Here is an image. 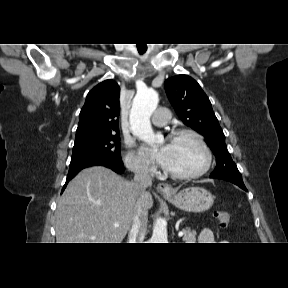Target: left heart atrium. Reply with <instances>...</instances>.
I'll return each instance as SVG.
<instances>
[{
    "instance_id": "1",
    "label": "left heart atrium",
    "mask_w": 288,
    "mask_h": 288,
    "mask_svg": "<svg viewBox=\"0 0 288 288\" xmlns=\"http://www.w3.org/2000/svg\"><path fill=\"white\" fill-rule=\"evenodd\" d=\"M144 151L151 155L159 164L164 166L168 158L169 147L166 145L157 150L145 147Z\"/></svg>"
}]
</instances>
